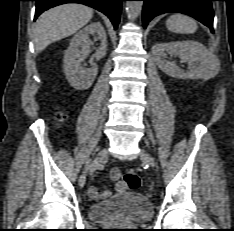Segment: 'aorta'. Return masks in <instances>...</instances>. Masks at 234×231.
<instances>
[{"instance_id": "obj_1", "label": "aorta", "mask_w": 234, "mask_h": 231, "mask_svg": "<svg viewBox=\"0 0 234 231\" xmlns=\"http://www.w3.org/2000/svg\"><path fill=\"white\" fill-rule=\"evenodd\" d=\"M142 1H127L126 2V12L130 20H135L142 10Z\"/></svg>"}]
</instances>
